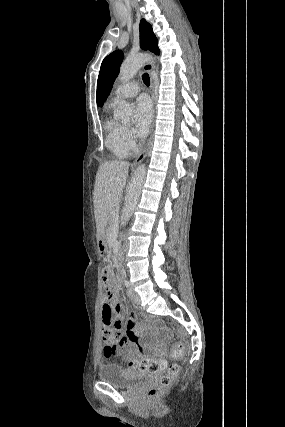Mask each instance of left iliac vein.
<instances>
[{"instance_id":"left-iliac-vein-1","label":"left iliac vein","mask_w":285,"mask_h":427,"mask_svg":"<svg viewBox=\"0 0 285 427\" xmlns=\"http://www.w3.org/2000/svg\"><path fill=\"white\" fill-rule=\"evenodd\" d=\"M128 294H129V297H130V299L134 305H140V302H141L140 297L134 289L129 288Z\"/></svg>"}]
</instances>
